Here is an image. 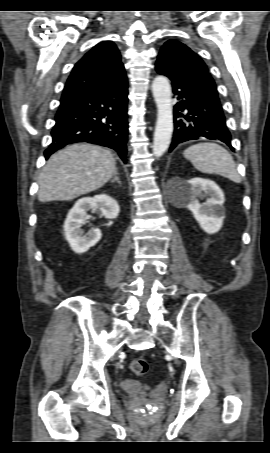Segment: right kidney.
I'll return each mask as SVG.
<instances>
[{"mask_svg":"<svg viewBox=\"0 0 270 453\" xmlns=\"http://www.w3.org/2000/svg\"><path fill=\"white\" fill-rule=\"evenodd\" d=\"M90 209H99L107 219L116 218L120 211L117 201L105 194L81 198L75 203L67 215L63 228L71 249L78 254L88 251L102 237L101 231L97 228L88 235H84L81 229Z\"/></svg>","mask_w":270,"mask_h":453,"instance_id":"1","label":"right kidney"}]
</instances>
